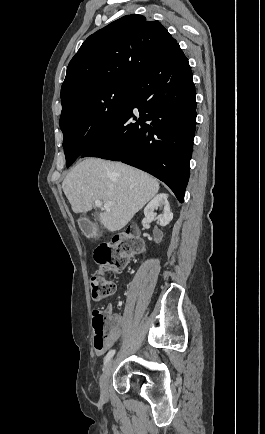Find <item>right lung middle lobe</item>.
I'll use <instances>...</instances> for the list:
<instances>
[{"label":"right lung middle lobe","instance_id":"dd1d6c3e","mask_svg":"<svg viewBox=\"0 0 265 434\" xmlns=\"http://www.w3.org/2000/svg\"><path fill=\"white\" fill-rule=\"evenodd\" d=\"M135 78L110 76L69 89L61 95L60 128L69 167L120 118Z\"/></svg>","mask_w":265,"mask_h":434}]
</instances>
